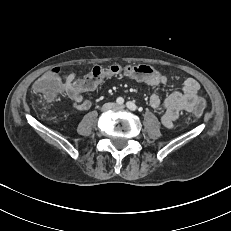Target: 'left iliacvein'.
I'll return each instance as SVG.
<instances>
[{
    "label": "left iliac vein",
    "mask_w": 231,
    "mask_h": 231,
    "mask_svg": "<svg viewBox=\"0 0 231 231\" xmlns=\"http://www.w3.org/2000/svg\"><path fill=\"white\" fill-rule=\"evenodd\" d=\"M116 108H118V109H124V106L120 105V106H116Z\"/></svg>",
    "instance_id": "left-iliac-vein-1"
}]
</instances>
